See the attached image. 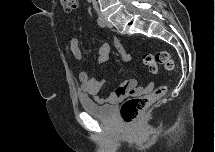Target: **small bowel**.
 Listing matches in <instances>:
<instances>
[{
	"instance_id": "obj_1",
	"label": "small bowel",
	"mask_w": 215,
	"mask_h": 152,
	"mask_svg": "<svg viewBox=\"0 0 215 152\" xmlns=\"http://www.w3.org/2000/svg\"><path fill=\"white\" fill-rule=\"evenodd\" d=\"M115 44L121 51L123 58L125 60H129L130 54L124 52L118 41H116ZM70 49L77 60L83 59V52L79 38L73 37L70 40ZM110 56L111 51L109 45L106 43L99 44L96 52V61L98 63H106L110 59ZM78 80L80 82L82 93L91 96L100 104L115 103L128 95H144L154 88L153 83L146 86H140L137 78L132 77L122 82L114 92L109 94L108 97H101L99 96V92L105 85V79H90L86 72L81 71L78 73Z\"/></svg>"
}]
</instances>
